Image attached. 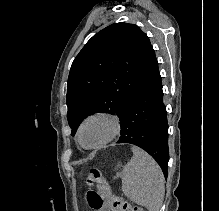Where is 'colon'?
Masks as SVG:
<instances>
[{
	"mask_svg": "<svg viewBox=\"0 0 219 211\" xmlns=\"http://www.w3.org/2000/svg\"><path fill=\"white\" fill-rule=\"evenodd\" d=\"M86 182L89 186H96L98 188L99 196L109 204L112 211H143L141 208L133 206L124 198L113 194L110 184L98 169L92 168L87 172Z\"/></svg>",
	"mask_w": 219,
	"mask_h": 211,
	"instance_id": "1",
	"label": "colon"
}]
</instances>
